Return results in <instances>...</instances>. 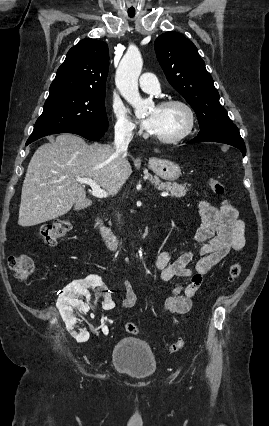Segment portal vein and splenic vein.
Returning a JSON list of instances; mask_svg holds the SVG:
<instances>
[{"label":"portal vein and splenic vein","instance_id":"portal-vein-and-splenic-vein-1","mask_svg":"<svg viewBox=\"0 0 269 426\" xmlns=\"http://www.w3.org/2000/svg\"><path fill=\"white\" fill-rule=\"evenodd\" d=\"M80 183L82 184H87L92 188L91 194L97 198H106L108 197V193L100 188V186L97 184L96 181L92 180V179H85V178H78L77 179ZM162 197H167L169 196L168 192H162L161 193Z\"/></svg>","mask_w":269,"mask_h":426}]
</instances>
